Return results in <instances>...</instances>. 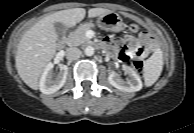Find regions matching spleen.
<instances>
[{"label": "spleen", "mask_w": 194, "mask_h": 133, "mask_svg": "<svg viewBox=\"0 0 194 133\" xmlns=\"http://www.w3.org/2000/svg\"><path fill=\"white\" fill-rule=\"evenodd\" d=\"M163 52L157 49L144 64V83L146 87L152 86L160 77L163 69Z\"/></svg>", "instance_id": "spleen-1"}]
</instances>
